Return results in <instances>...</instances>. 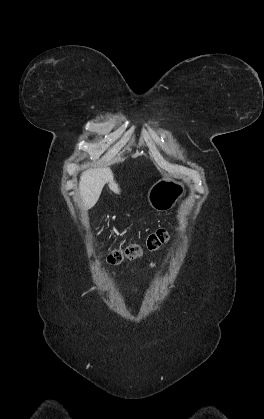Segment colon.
<instances>
[{"instance_id":"5ec220e1","label":"colon","mask_w":264,"mask_h":419,"mask_svg":"<svg viewBox=\"0 0 264 419\" xmlns=\"http://www.w3.org/2000/svg\"><path fill=\"white\" fill-rule=\"evenodd\" d=\"M168 232L165 228H159L151 232L146 239V247L150 251L159 249L167 240ZM141 254V248L137 245H130L124 250L116 249L109 253L108 262L112 265L119 264L124 257L137 258Z\"/></svg>"}]
</instances>
